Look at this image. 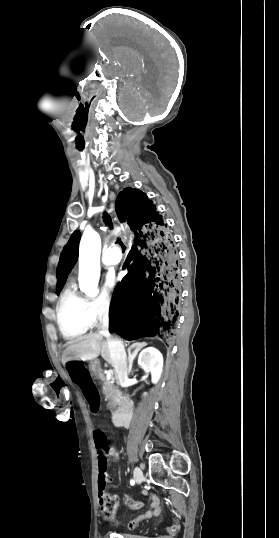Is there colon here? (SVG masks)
I'll return each instance as SVG.
<instances>
[{
	"label": "colon",
	"instance_id": "5ec220e1",
	"mask_svg": "<svg viewBox=\"0 0 279 538\" xmlns=\"http://www.w3.org/2000/svg\"><path fill=\"white\" fill-rule=\"evenodd\" d=\"M94 443L98 453V487L100 506L103 516L111 520L115 515L116 498L107 490V467L110 458L111 447L106 434L101 430L93 433Z\"/></svg>",
	"mask_w": 279,
	"mask_h": 538
}]
</instances>
